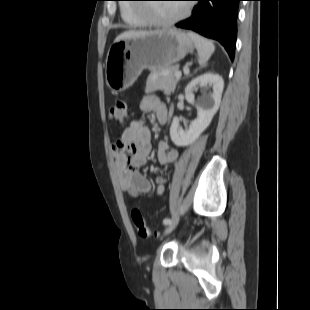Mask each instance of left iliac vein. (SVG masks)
<instances>
[{"label": "left iliac vein", "instance_id": "left-iliac-vein-1", "mask_svg": "<svg viewBox=\"0 0 310 310\" xmlns=\"http://www.w3.org/2000/svg\"><path fill=\"white\" fill-rule=\"evenodd\" d=\"M177 224H178V219L175 218L173 221H171L170 224H168V225L166 226V228L164 229L163 234H164V235L169 234V233L177 226Z\"/></svg>", "mask_w": 310, "mask_h": 310}]
</instances>
